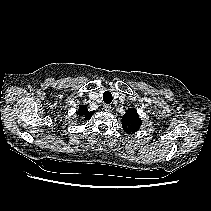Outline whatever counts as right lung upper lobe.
<instances>
[{"label":"right lung upper lobe","mask_w":211,"mask_h":211,"mask_svg":"<svg viewBox=\"0 0 211 211\" xmlns=\"http://www.w3.org/2000/svg\"><path fill=\"white\" fill-rule=\"evenodd\" d=\"M93 113V111H88L85 105H80L77 115L82 117L84 120H89L92 117Z\"/></svg>","instance_id":"1"}]
</instances>
